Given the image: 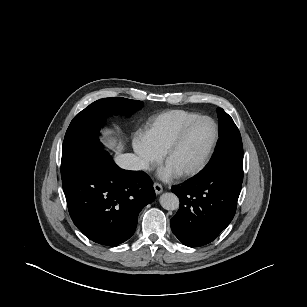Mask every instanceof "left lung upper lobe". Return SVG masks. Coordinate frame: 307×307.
<instances>
[{
    "instance_id": "1",
    "label": "left lung upper lobe",
    "mask_w": 307,
    "mask_h": 307,
    "mask_svg": "<svg viewBox=\"0 0 307 307\" xmlns=\"http://www.w3.org/2000/svg\"><path fill=\"white\" fill-rule=\"evenodd\" d=\"M219 140L214 155L200 173L222 172L243 180V145L233 119L218 108Z\"/></svg>"
}]
</instances>
